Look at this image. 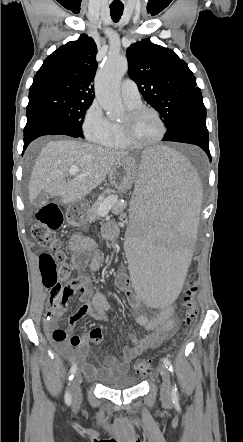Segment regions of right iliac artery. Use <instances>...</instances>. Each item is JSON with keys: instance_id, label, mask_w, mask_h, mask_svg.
<instances>
[{"instance_id": "obj_1", "label": "right iliac artery", "mask_w": 243, "mask_h": 442, "mask_svg": "<svg viewBox=\"0 0 243 442\" xmlns=\"http://www.w3.org/2000/svg\"><path fill=\"white\" fill-rule=\"evenodd\" d=\"M76 371H77V365L74 364L70 369V376H69L70 381L74 378V374L76 373ZM71 401H72L71 394H70L69 389H67L65 392V403L67 405H70Z\"/></svg>"}]
</instances>
